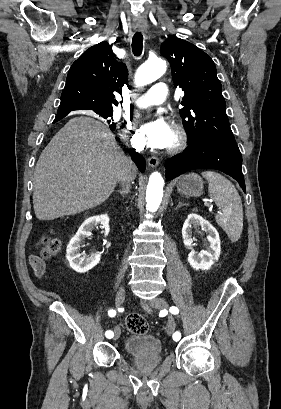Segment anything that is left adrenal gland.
I'll list each match as a JSON object with an SVG mask.
<instances>
[{
    "label": "left adrenal gland",
    "mask_w": 281,
    "mask_h": 409,
    "mask_svg": "<svg viewBox=\"0 0 281 409\" xmlns=\"http://www.w3.org/2000/svg\"><path fill=\"white\" fill-rule=\"evenodd\" d=\"M185 205H187V202H178L176 209H180V207H185Z\"/></svg>",
    "instance_id": "a2214340"
}]
</instances>
